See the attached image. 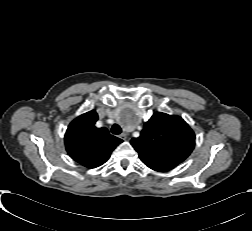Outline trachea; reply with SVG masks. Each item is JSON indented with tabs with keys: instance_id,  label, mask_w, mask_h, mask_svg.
Instances as JSON below:
<instances>
[{
	"instance_id": "obj_1",
	"label": "trachea",
	"mask_w": 252,
	"mask_h": 231,
	"mask_svg": "<svg viewBox=\"0 0 252 231\" xmlns=\"http://www.w3.org/2000/svg\"><path fill=\"white\" fill-rule=\"evenodd\" d=\"M113 134H120L122 132L121 127L118 124H114L111 128Z\"/></svg>"
}]
</instances>
